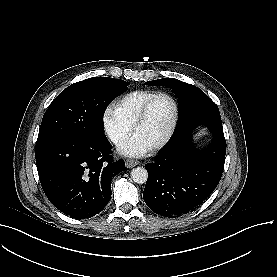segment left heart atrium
<instances>
[{"label":"left heart atrium","mask_w":277,"mask_h":277,"mask_svg":"<svg viewBox=\"0 0 277 277\" xmlns=\"http://www.w3.org/2000/svg\"><path fill=\"white\" fill-rule=\"evenodd\" d=\"M120 152L133 157H141L147 152V146L140 138L130 137L122 142Z\"/></svg>","instance_id":"left-heart-atrium-1"}]
</instances>
